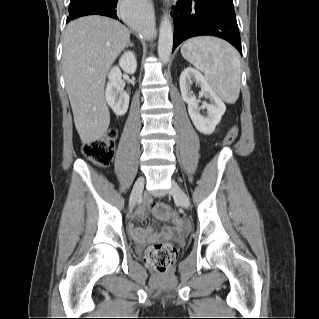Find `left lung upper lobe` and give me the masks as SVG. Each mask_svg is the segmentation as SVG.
I'll list each match as a JSON object with an SVG mask.
<instances>
[{
    "instance_id": "left-lung-upper-lobe-1",
    "label": "left lung upper lobe",
    "mask_w": 319,
    "mask_h": 319,
    "mask_svg": "<svg viewBox=\"0 0 319 319\" xmlns=\"http://www.w3.org/2000/svg\"><path fill=\"white\" fill-rule=\"evenodd\" d=\"M211 1H214L216 3H219L221 5H224L230 8H234L233 0H211Z\"/></svg>"
}]
</instances>
